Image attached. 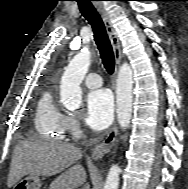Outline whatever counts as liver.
Returning <instances> with one entry per match:
<instances>
[{
	"instance_id": "1",
	"label": "liver",
	"mask_w": 188,
	"mask_h": 189,
	"mask_svg": "<svg viewBox=\"0 0 188 189\" xmlns=\"http://www.w3.org/2000/svg\"><path fill=\"white\" fill-rule=\"evenodd\" d=\"M82 151L71 144L20 142L13 151L7 186L11 188L26 175L59 177L61 189H75L85 183L87 174L80 164Z\"/></svg>"
}]
</instances>
